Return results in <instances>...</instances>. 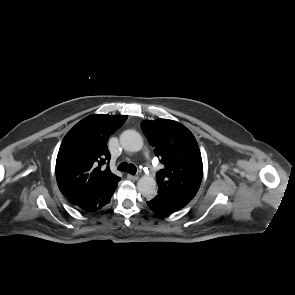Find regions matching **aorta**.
<instances>
[{
    "label": "aorta",
    "instance_id": "1",
    "mask_svg": "<svg viewBox=\"0 0 295 295\" xmlns=\"http://www.w3.org/2000/svg\"><path fill=\"white\" fill-rule=\"evenodd\" d=\"M122 148L129 152H138L143 147L142 136L135 130H126L120 135ZM138 191L147 199L156 194V180L152 176L144 175L137 182Z\"/></svg>",
    "mask_w": 295,
    "mask_h": 295
}]
</instances>
